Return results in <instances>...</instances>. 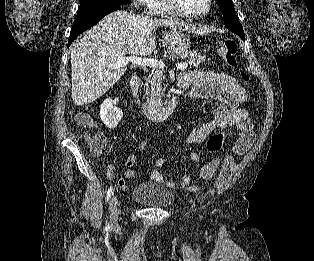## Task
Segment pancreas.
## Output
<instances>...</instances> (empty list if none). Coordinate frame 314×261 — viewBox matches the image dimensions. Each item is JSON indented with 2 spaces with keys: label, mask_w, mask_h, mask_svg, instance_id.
Wrapping results in <instances>:
<instances>
[{
  "label": "pancreas",
  "mask_w": 314,
  "mask_h": 261,
  "mask_svg": "<svg viewBox=\"0 0 314 261\" xmlns=\"http://www.w3.org/2000/svg\"><path fill=\"white\" fill-rule=\"evenodd\" d=\"M167 55L172 59H185L188 58V64L190 67H198L206 60L205 55H202L198 51H188L180 48H176L173 45H169ZM163 71L161 69L153 70L152 74L146 77V95L151 102H160L164 93L162 89Z\"/></svg>",
  "instance_id": "1"
}]
</instances>
